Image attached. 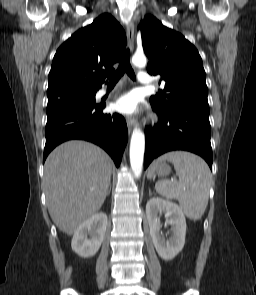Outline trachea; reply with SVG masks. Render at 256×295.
<instances>
[{"mask_svg": "<svg viewBox=\"0 0 256 295\" xmlns=\"http://www.w3.org/2000/svg\"><path fill=\"white\" fill-rule=\"evenodd\" d=\"M124 73H127L128 76L132 80L136 79L135 73H134V71L131 67V64H130V50L129 49H127L124 52L117 71L110 77L109 85H115Z\"/></svg>", "mask_w": 256, "mask_h": 295, "instance_id": "3493384b", "label": "trachea"}]
</instances>
